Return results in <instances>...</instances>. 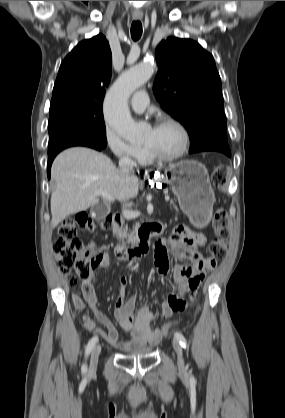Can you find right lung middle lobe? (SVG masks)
<instances>
[{"mask_svg":"<svg viewBox=\"0 0 285 418\" xmlns=\"http://www.w3.org/2000/svg\"><path fill=\"white\" fill-rule=\"evenodd\" d=\"M48 156L80 141L107 145L106 128L100 104L59 102L50 104Z\"/></svg>","mask_w":285,"mask_h":418,"instance_id":"obj_1","label":"right lung middle lobe"}]
</instances>
